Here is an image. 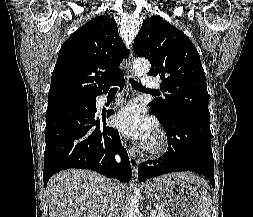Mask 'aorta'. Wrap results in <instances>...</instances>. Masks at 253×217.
<instances>
[{
	"instance_id": "aorta-1",
	"label": "aorta",
	"mask_w": 253,
	"mask_h": 217,
	"mask_svg": "<svg viewBox=\"0 0 253 217\" xmlns=\"http://www.w3.org/2000/svg\"><path fill=\"white\" fill-rule=\"evenodd\" d=\"M150 70V63L146 59H136L133 63V71L136 76H144ZM134 194L130 196V203L127 208L126 217H139L138 194L139 189L136 186L133 188Z\"/></svg>"
}]
</instances>
